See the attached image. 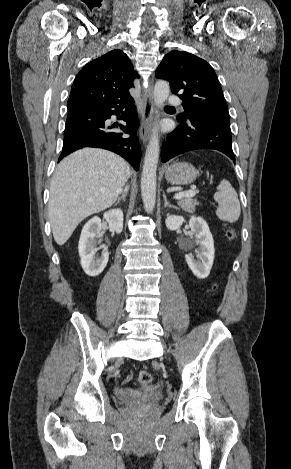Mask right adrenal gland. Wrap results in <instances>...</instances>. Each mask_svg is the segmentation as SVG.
<instances>
[{"label": "right adrenal gland", "instance_id": "obj_1", "mask_svg": "<svg viewBox=\"0 0 291 469\" xmlns=\"http://www.w3.org/2000/svg\"><path fill=\"white\" fill-rule=\"evenodd\" d=\"M128 192H129V186L126 185L125 188H124V190H123L122 196H120V197L117 199V201H116L115 204H116V205L119 204L121 200L125 201Z\"/></svg>", "mask_w": 291, "mask_h": 469}]
</instances>
